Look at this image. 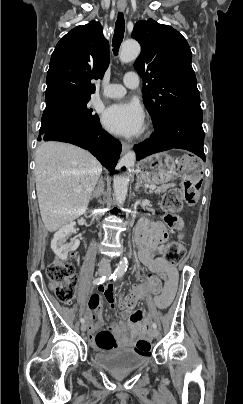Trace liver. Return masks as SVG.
Segmentation results:
<instances>
[{
    "mask_svg": "<svg viewBox=\"0 0 243 404\" xmlns=\"http://www.w3.org/2000/svg\"><path fill=\"white\" fill-rule=\"evenodd\" d=\"M35 180L43 224L56 232L88 208L102 166L77 146L43 142L35 154Z\"/></svg>",
    "mask_w": 243,
    "mask_h": 404,
    "instance_id": "liver-1",
    "label": "liver"
}]
</instances>
